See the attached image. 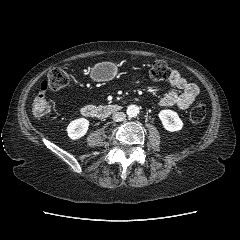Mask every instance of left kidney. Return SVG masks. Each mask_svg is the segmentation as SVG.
<instances>
[{
  "mask_svg": "<svg viewBox=\"0 0 240 240\" xmlns=\"http://www.w3.org/2000/svg\"><path fill=\"white\" fill-rule=\"evenodd\" d=\"M163 127L169 132L180 131L183 127V122L178 114L172 110H161L158 114Z\"/></svg>",
  "mask_w": 240,
  "mask_h": 240,
  "instance_id": "obj_1",
  "label": "left kidney"
}]
</instances>
